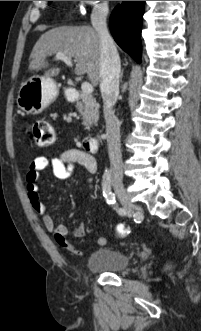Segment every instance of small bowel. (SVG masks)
<instances>
[{
	"label": "small bowel",
	"mask_w": 201,
	"mask_h": 331,
	"mask_svg": "<svg viewBox=\"0 0 201 331\" xmlns=\"http://www.w3.org/2000/svg\"><path fill=\"white\" fill-rule=\"evenodd\" d=\"M75 166H80L89 174H95L97 171V163L90 154L79 149H69L51 158L45 156L34 158L28 166L25 181L28 199L35 212L42 217L46 230L54 236L55 241L62 248L71 254L80 255L81 251L66 239V226L57 225L47 213L46 207L40 199L38 186V179L42 170L51 168L56 177L68 179L71 177ZM85 232V225L81 223L75 228L74 236L81 238L85 235ZM105 242L106 240L103 237L98 239L100 245L105 244Z\"/></svg>",
	"instance_id": "1"
}]
</instances>
